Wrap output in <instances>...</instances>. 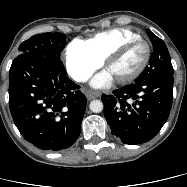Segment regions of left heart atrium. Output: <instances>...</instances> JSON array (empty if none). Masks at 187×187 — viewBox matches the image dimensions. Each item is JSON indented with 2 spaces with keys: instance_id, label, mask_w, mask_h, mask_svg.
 <instances>
[{
  "instance_id": "39dd6f15",
  "label": "left heart atrium",
  "mask_w": 187,
  "mask_h": 187,
  "mask_svg": "<svg viewBox=\"0 0 187 187\" xmlns=\"http://www.w3.org/2000/svg\"><path fill=\"white\" fill-rule=\"evenodd\" d=\"M114 79H115V77L107 69V70H104L101 73L97 74L93 78L91 84L94 87H97V88L107 87V86H109L113 82Z\"/></svg>"
}]
</instances>
